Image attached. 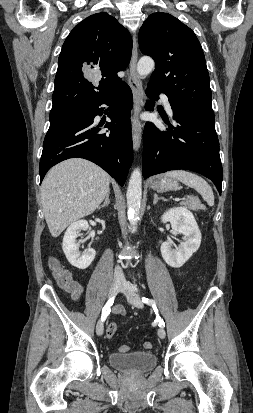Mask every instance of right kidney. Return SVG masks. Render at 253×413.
<instances>
[{"instance_id": "1", "label": "right kidney", "mask_w": 253, "mask_h": 413, "mask_svg": "<svg viewBox=\"0 0 253 413\" xmlns=\"http://www.w3.org/2000/svg\"><path fill=\"white\" fill-rule=\"evenodd\" d=\"M88 228L89 225L86 220L76 221L68 227L63 238L62 248L65 256L70 264L78 269L89 267L96 255L95 250L92 248L81 254L79 252V244L76 243V238L80 236V231H85Z\"/></svg>"}]
</instances>
